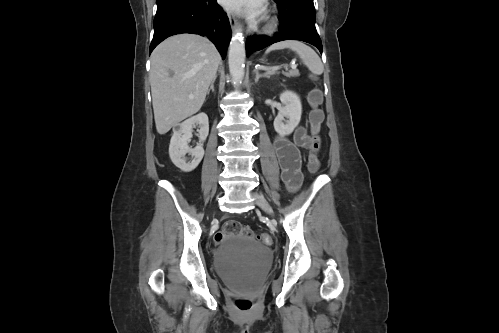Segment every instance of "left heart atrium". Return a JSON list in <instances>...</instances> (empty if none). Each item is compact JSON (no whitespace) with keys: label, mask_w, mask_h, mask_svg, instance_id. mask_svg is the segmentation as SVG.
<instances>
[{"label":"left heart atrium","mask_w":499,"mask_h":333,"mask_svg":"<svg viewBox=\"0 0 499 333\" xmlns=\"http://www.w3.org/2000/svg\"><path fill=\"white\" fill-rule=\"evenodd\" d=\"M221 4L232 11L245 10L251 17H257L263 11V0H220Z\"/></svg>","instance_id":"obj_1"}]
</instances>
